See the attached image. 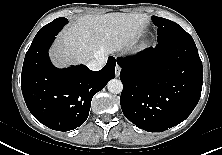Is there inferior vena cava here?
Returning <instances> with one entry per match:
<instances>
[{
  "mask_svg": "<svg viewBox=\"0 0 222 155\" xmlns=\"http://www.w3.org/2000/svg\"><path fill=\"white\" fill-rule=\"evenodd\" d=\"M106 63V57L105 56H99L96 59L90 60L87 62L86 66L93 71L101 70Z\"/></svg>",
  "mask_w": 222,
  "mask_h": 155,
  "instance_id": "obj_1",
  "label": "inferior vena cava"
}]
</instances>
